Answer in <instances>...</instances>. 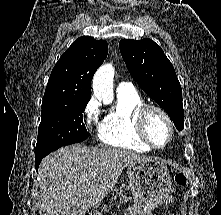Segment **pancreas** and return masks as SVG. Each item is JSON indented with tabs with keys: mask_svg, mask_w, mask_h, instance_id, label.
<instances>
[{
	"mask_svg": "<svg viewBox=\"0 0 221 215\" xmlns=\"http://www.w3.org/2000/svg\"><path fill=\"white\" fill-rule=\"evenodd\" d=\"M113 198L116 199L119 198L120 204H126L127 202L131 201V197L128 195V192L126 190L120 189H114L113 190Z\"/></svg>",
	"mask_w": 221,
	"mask_h": 215,
	"instance_id": "cf45deb5",
	"label": "pancreas"
}]
</instances>
